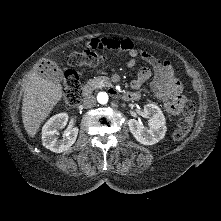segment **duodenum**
Masks as SVG:
<instances>
[{
	"instance_id": "obj_1",
	"label": "duodenum",
	"mask_w": 221,
	"mask_h": 221,
	"mask_svg": "<svg viewBox=\"0 0 221 221\" xmlns=\"http://www.w3.org/2000/svg\"><path fill=\"white\" fill-rule=\"evenodd\" d=\"M90 92H91V87L89 85L85 86L83 89V96L84 97L88 96ZM121 98L126 102H130V101L137 100L138 97L133 92H126L121 96Z\"/></svg>"
}]
</instances>
